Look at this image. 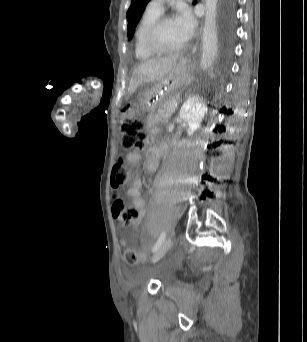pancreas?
<instances>
[{"mask_svg": "<svg viewBox=\"0 0 307 342\" xmlns=\"http://www.w3.org/2000/svg\"><path fill=\"white\" fill-rule=\"evenodd\" d=\"M178 99L177 94H170V96L167 98L168 104H175ZM172 111V106H160L158 116L160 118L170 117Z\"/></svg>", "mask_w": 307, "mask_h": 342, "instance_id": "pancreas-1", "label": "pancreas"}]
</instances>
